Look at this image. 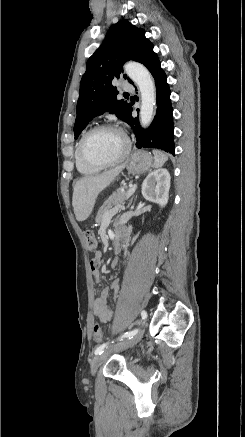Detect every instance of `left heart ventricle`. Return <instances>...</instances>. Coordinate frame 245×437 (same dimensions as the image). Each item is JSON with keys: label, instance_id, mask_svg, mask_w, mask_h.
I'll use <instances>...</instances> for the list:
<instances>
[{"label": "left heart ventricle", "instance_id": "b2bd125f", "mask_svg": "<svg viewBox=\"0 0 245 437\" xmlns=\"http://www.w3.org/2000/svg\"><path fill=\"white\" fill-rule=\"evenodd\" d=\"M125 148L121 133L103 130L92 134L85 143L87 155L96 161H111L119 157Z\"/></svg>", "mask_w": 245, "mask_h": 437}]
</instances>
